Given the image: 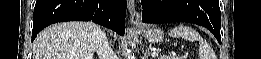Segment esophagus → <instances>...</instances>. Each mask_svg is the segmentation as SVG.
I'll use <instances>...</instances> for the list:
<instances>
[{
	"mask_svg": "<svg viewBox=\"0 0 261 59\" xmlns=\"http://www.w3.org/2000/svg\"><path fill=\"white\" fill-rule=\"evenodd\" d=\"M127 8L130 13V22L133 25H138L140 23L141 15L135 8V2L134 0H128L127 1Z\"/></svg>",
	"mask_w": 261,
	"mask_h": 59,
	"instance_id": "1",
	"label": "esophagus"
}]
</instances>
